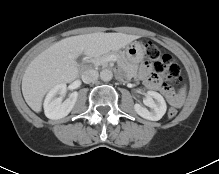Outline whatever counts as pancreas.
I'll return each mask as SVG.
<instances>
[{"label": "pancreas", "instance_id": "obj_1", "mask_svg": "<svg viewBox=\"0 0 219 174\" xmlns=\"http://www.w3.org/2000/svg\"><path fill=\"white\" fill-rule=\"evenodd\" d=\"M111 55H114L117 59V63L118 65L123 68L127 73H131V68H130V65L128 63V60L127 58L125 57L124 54H121L119 52H107L103 55H100V56H97L93 59V61L95 63H99V64H102V65H107L108 61V57L111 56ZM131 76V75H130Z\"/></svg>", "mask_w": 219, "mask_h": 174}]
</instances>
